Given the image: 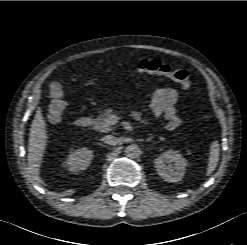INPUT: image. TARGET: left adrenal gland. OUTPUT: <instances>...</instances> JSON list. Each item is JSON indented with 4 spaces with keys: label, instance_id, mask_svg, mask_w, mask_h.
<instances>
[{
    "label": "left adrenal gland",
    "instance_id": "obj_1",
    "mask_svg": "<svg viewBox=\"0 0 247 245\" xmlns=\"http://www.w3.org/2000/svg\"><path fill=\"white\" fill-rule=\"evenodd\" d=\"M152 138H153V136L151 135V136L147 139V141H150Z\"/></svg>",
    "mask_w": 247,
    "mask_h": 245
}]
</instances>
